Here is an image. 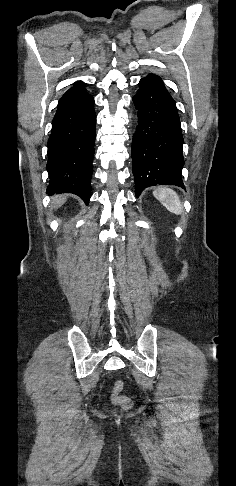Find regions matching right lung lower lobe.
<instances>
[{
    "label": "right lung lower lobe",
    "instance_id": "1",
    "mask_svg": "<svg viewBox=\"0 0 236 486\" xmlns=\"http://www.w3.org/2000/svg\"><path fill=\"white\" fill-rule=\"evenodd\" d=\"M93 104V97L86 93L57 105L47 144L49 195L73 193L89 203L96 123Z\"/></svg>",
    "mask_w": 236,
    "mask_h": 486
}]
</instances>
